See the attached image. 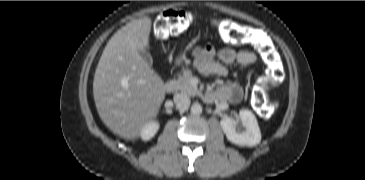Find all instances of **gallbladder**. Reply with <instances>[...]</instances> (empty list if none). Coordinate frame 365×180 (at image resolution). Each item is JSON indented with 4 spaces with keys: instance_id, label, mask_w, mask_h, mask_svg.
Returning a JSON list of instances; mask_svg holds the SVG:
<instances>
[{
    "instance_id": "obj_1",
    "label": "gallbladder",
    "mask_w": 365,
    "mask_h": 180,
    "mask_svg": "<svg viewBox=\"0 0 365 180\" xmlns=\"http://www.w3.org/2000/svg\"><path fill=\"white\" fill-rule=\"evenodd\" d=\"M139 54L148 65L152 66L153 59L147 51H139Z\"/></svg>"
}]
</instances>
